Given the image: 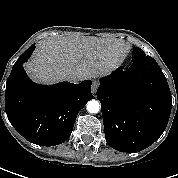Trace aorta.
I'll list each match as a JSON object with an SVG mask.
<instances>
[{"mask_svg":"<svg viewBox=\"0 0 178 178\" xmlns=\"http://www.w3.org/2000/svg\"><path fill=\"white\" fill-rule=\"evenodd\" d=\"M87 110L90 113H98L100 110V103L96 100H91L87 104Z\"/></svg>","mask_w":178,"mask_h":178,"instance_id":"1","label":"aorta"}]
</instances>
